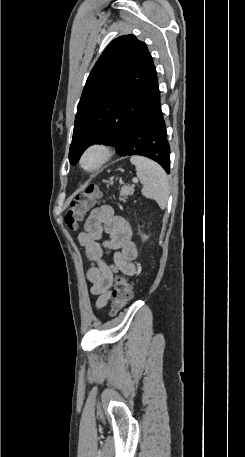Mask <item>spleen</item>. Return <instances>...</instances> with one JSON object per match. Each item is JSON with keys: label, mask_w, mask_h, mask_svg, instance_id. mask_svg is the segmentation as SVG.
<instances>
[{"label": "spleen", "mask_w": 245, "mask_h": 457, "mask_svg": "<svg viewBox=\"0 0 245 457\" xmlns=\"http://www.w3.org/2000/svg\"><path fill=\"white\" fill-rule=\"evenodd\" d=\"M130 160L135 164L136 174L143 184L142 194L146 198L156 200L160 208H166L169 198V180L164 168L155 160L138 154H133Z\"/></svg>", "instance_id": "obj_1"}]
</instances>
